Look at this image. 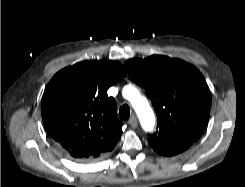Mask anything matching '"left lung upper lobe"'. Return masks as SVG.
I'll return each mask as SVG.
<instances>
[{
    "label": "left lung upper lobe",
    "instance_id": "obj_1",
    "mask_svg": "<svg viewBox=\"0 0 245 187\" xmlns=\"http://www.w3.org/2000/svg\"><path fill=\"white\" fill-rule=\"evenodd\" d=\"M130 78L145 88L157 114L162 142L196 141L209 119L211 93L202 74L179 59L153 55L125 63Z\"/></svg>",
    "mask_w": 245,
    "mask_h": 187
}]
</instances>
